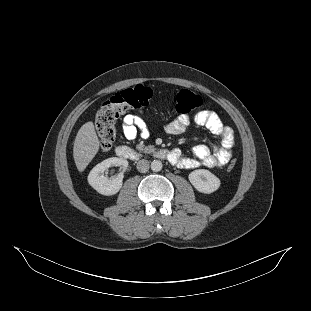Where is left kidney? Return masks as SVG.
I'll use <instances>...</instances> for the list:
<instances>
[{"label": "left kidney", "mask_w": 311, "mask_h": 311, "mask_svg": "<svg viewBox=\"0 0 311 311\" xmlns=\"http://www.w3.org/2000/svg\"><path fill=\"white\" fill-rule=\"evenodd\" d=\"M191 183L201 192L210 193L216 190L219 185V179L210 171L198 169L189 175Z\"/></svg>", "instance_id": "1"}]
</instances>
